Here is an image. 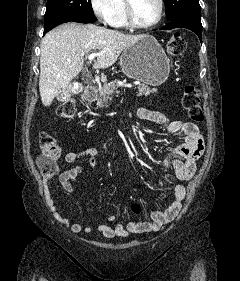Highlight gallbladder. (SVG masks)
Here are the masks:
<instances>
[{"mask_svg":"<svg viewBox=\"0 0 240 281\" xmlns=\"http://www.w3.org/2000/svg\"><path fill=\"white\" fill-rule=\"evenodd\" d=\"M57 99H58L59 101H63L64 98H63L62 95L59 94V95L57 96Z\"/></svg>","mask_w":240,"mask_h":281,"instance_id":"gallbladder-1","label":"gallbladder"}]
</instances>
